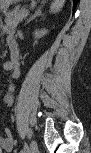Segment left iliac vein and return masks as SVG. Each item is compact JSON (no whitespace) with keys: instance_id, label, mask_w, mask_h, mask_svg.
Masks as SVG:
<instances>
[{"instance_id":"1","label":"left iliac vein","mask_w":91,"mask_h":153,"mask_svg":"<svg viewBox=\"0 0 91 153\" xmlns=\"http://www.w3.org/2000/svg\"><path fill=\"white\" fill-rule=\"evenodd\" d=\"M38 150L37 143L35 140H32L30 143L29 153H36Z\"/></svg>"}]
</instances>
